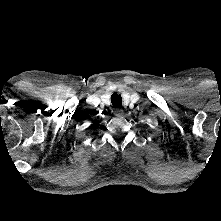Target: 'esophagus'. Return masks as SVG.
Returning <instances> with one entry per match:
<instances>
[{"label": "esophagus", "mask_w": 221, "mask_h": 221, "mask_svg": "<svg viewBox=\"0 0 221 221\" xmlns=\"http://www.w3.org/2000/svg\"><path fill=\"white\" fill-rule=\"evenodd\" d=\"M114 114L121 116L123 114V110L121 108H114Z\"/></svg>", "instance_id": "1"}]
</instances>
